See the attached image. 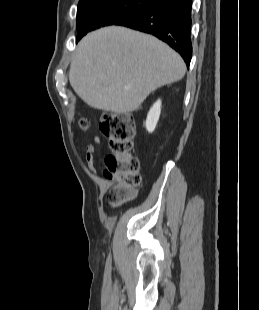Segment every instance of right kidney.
<instances>
[{
    "mask_svg": "<svg viewBox=\"0 0 259 310\" xmlns=\"http://www.w3.org/2000/svg\"><path fill=\"white\" fill-rule=\"evenodd\" d=\"M161 113V100H157L153 106L150 108L147 119H146V129L148 132L152 133L157 125Z\"/></svg>",
    "mask_w": 259,
    "mask_h": 310,
    "instance_id": "obj_1",
    "label": "right kidney"
}]
</instances>
